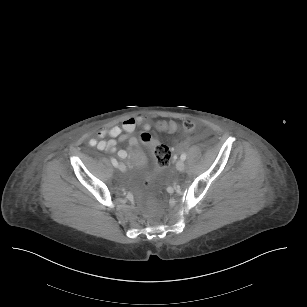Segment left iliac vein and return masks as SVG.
Instances as JSON below:
<instances>
[{"mask_svg": "<svg viewBox=\"0 0 307 307\" xmlns=\"http://www.w3.org/2000/svg\"><path fill=\"white\" fill-rule=\"evenodd\" d=\"M176 168H177V170H179V171H184V170H185V162H184V160H179V161L176 163Z\"/></svg>", "mask_w": 307, "mask_h": 307, "instance_id": "left-iliac-vein-1", "label": "left iliac vein"}]
</instances>
